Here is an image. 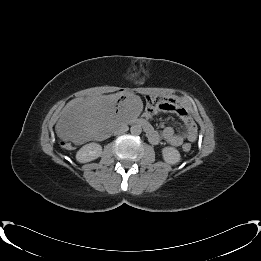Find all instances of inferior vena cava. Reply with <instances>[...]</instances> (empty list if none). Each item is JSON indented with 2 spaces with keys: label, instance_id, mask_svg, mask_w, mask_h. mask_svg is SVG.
<instances>
[{
  "label": "inferior vena cava",
  "instance_id": "obj_1",
  "mask_svg": "<svg viewBox=\"0 0 261 261\" xmlns=\"http://www.w3.org/2000/svg\"><path fill=\"white\" fill-rule=\"evenodd\" d=\"M128 126L126 124H121L115 131V133H124L128 131Z\"/></svg>",
  "mask_w": 261,
  "mask_h": 261
}]
</instances>
